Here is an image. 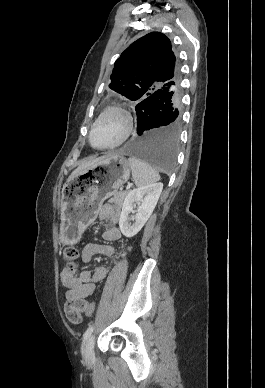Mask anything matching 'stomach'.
Returning <instances> with one entry per match:
<instances>
[{"mask_svg":"<svg viewBox=\"0 0 265 388\" xmlns=\"http://www.w3.org/2000/svg\"><path fill=\"white\" fill-rule=\"evenodd\" d=\"M130 165L119 154L105 156L67 181L62 189L60 236L76 243L103 202L129 179Z\"/></svg>","mask_w":265,"mask_h":388,"instance_id":"1","label":"stomach"}]
</instances>
